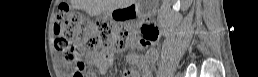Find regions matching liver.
I'll return each mask as SVG.
<instances>
[{"label": "liver", "instance_id": "liver-1", "mask_svg": "<svg viewBox=\"0 0 258 77\" xmlns=\"http://www.w3.org/2000/svg\"><path fill=\"white\" fill-rule=\"evenodd\" d=\"M75 8L85 11L90 16H97L107 11L130 6L135 0H72ZM170 1L165 0L168 4Z\"/></svg>", "mask_w": 258, "mask_h": 77}]
</instances>
